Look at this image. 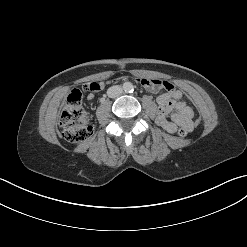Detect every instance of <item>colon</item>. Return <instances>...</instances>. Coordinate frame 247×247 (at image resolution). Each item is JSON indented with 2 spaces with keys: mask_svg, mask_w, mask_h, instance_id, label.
<instances>
[{
  "mask_svg": "<svg viewBox=\"0 0 247 247\" xmlns=\"http://www.w3.org/2000/svg\"><path fill=\"white\" fill-rule=\"evenodd\" d=\"M83 89L87 92L95 91L96 84L88 83ZM81 99V92L77 89L72 90L61 113L60 125L63 137L70 143L86 141L93 135V126L81 105ZM188 133L189 130L183 127L178 130V134L181 137L187 136Z\"/></svg>",
  "mask_w": 247,
  "mask_h": 247,
  "instance_id": "colon-1",
  "label": "colon"
}]
</instances>
